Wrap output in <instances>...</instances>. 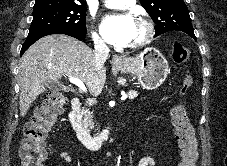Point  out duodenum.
Instances as JSON below:
<instances>
[{"label":"duodenum","instance_id":"obj_1","mask_svg":"<svg viewBox=\"0 0 227 166\" xmlns=\"http://www.w3.org/2000/svg\"><path fill=\"white\" fill-rule=\"evenodd\" d=\"M81 109L82 101L78 98H74L71 101L69 121L75 130L78 139L85 145V147L89 150H97L108 139L110 129L106 128L95 136L91 135L79 121Z\"/></svg>","mask_w":227,"mask_h":166}]
</instances>
